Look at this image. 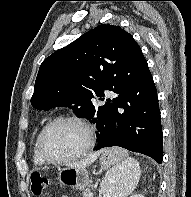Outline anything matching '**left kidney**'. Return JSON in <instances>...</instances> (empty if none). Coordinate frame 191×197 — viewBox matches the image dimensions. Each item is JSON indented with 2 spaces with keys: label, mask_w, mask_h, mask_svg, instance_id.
I'll return each instance as SVG.
<instances>
[{
  "label": "left kidney",
  "mask_w": 191,
  "mask_h": 197,
  "mask_svg": "<svg viewBox=\"0 0 191 197\" xmlns=\"http://www.w3.org/2000/svg\"><path fill=\"white\" fill-rule=\"evenodd\" d=\"M130 197H144L142 194H132Z\"/></svg>",
  "instance_id": "obj_1"
}]
</instances>
